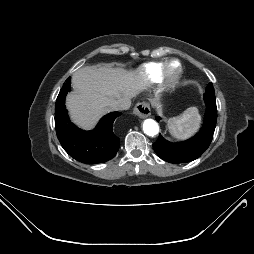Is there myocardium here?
<instances>
[{
	"instance_id": "myocardium-1",
	"label": "myocardium",
	"mask_w": 254,
	"mask_h": 254,
	"mask_svg": "<svg viewBox=\"0 0 254 254\" xmlns=\"http://www.w3.org/2000/svg\"><path fill=\"white\" fill-rule=\"evenodd\" d=\"M183 74V67L181 63L172 59L166 62V65L162 72V83L165 88H173L180 81Z\"/></svg>"
}]
</instances>
